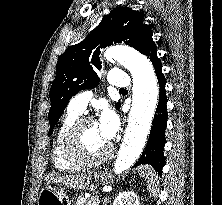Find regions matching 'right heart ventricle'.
<instances>
[{"mask_svg":"<svg viewBox=\"0 0 222 205\" xmlns=\"http://www.w3.org/2000/svg\"><path fill=\"white\" fill-rule=\"evenodd\" d=\"M78 114L68 110V113L62 120L53 141L52 161L54 167L59 171H74L80 169L81 165L69 160L64 152L63 139L66 131L77 119Z\"/></svg>","mask_w":222,"mask_h":205,"instance_id":"1","label":"right heart ventricle"}]
</instances>
